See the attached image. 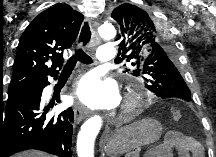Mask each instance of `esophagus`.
Segmentation results:
<instances>
[{
	"mask_svg": "<svg viewBox=\"0 0 216 157\" xmlns=\"http://www.w3.org/2000/svg\"><path fill=\"white\" fill-rule=\"evenodd\" d=\"M87 27H89L90 30V38L89 40H87L86 42H84V40L82 39V37L85 35H87ZM97 38V31L93 26L92 20L91 19H85L84 22L81 25V29L78 35V44L79 45H83L85 47H89L90 46V42L94 39ZM87 115V110L86 108L80 104L79 102H76L74 105V118H75V122L79 123L80 121H82Z\"/></svg>",
	"mask_w": 216,
	"mask_h": 157,
	"instance_id": "esophagus-1",
	"label": "esophagus"
}]
</instances>
